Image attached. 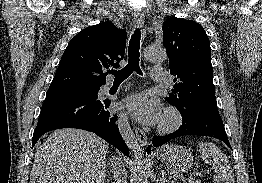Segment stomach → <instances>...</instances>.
<instances>
[{"mask_svg":"<svg viewBox=\"0 0 262 183\" xmlns=\"http://www.w3.org/2000/svg\"><path fill=\"white\" fill-rule=\"evenodd\" d=\"M157 159L173 172H185L193 164L191 151L181 145L166 144L157 151Z\"/></svg>","mask_w":262,"mask_h":183,"instance_id":"obj_1","label":"stomach"}]
</instances>
